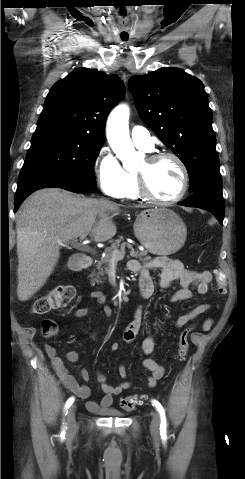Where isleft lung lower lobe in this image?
<instances>
[{
  "label": "left lung lower lobe",
  "instance_id": "left-lung-lower-lobe-1",
  "mask_svg": "<svg viewBox=\"0 0 245 479\" xmlns=\"http://www.w3.org/2000/svg\"><path fill=\"white\" fill-rule=\"evenodd\" d=\"M186 207H197L211 212L223 225L225 214L224 199L222 194V180L213 179L200 186L192 197L178 203Z\"/></svg>",
  "mask_w": 245,
  "mask_h": 479
}]
</instances>
